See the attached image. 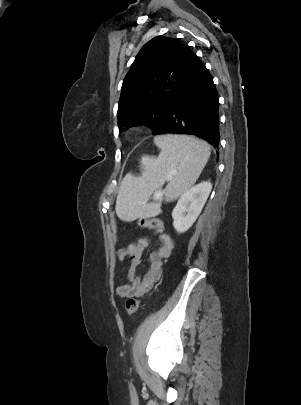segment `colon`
Returning <instances> with one entry per match:
<instances>
[{
    "instance_id": "obj_1",
    "label": "colon",
    "mask_w": 301,
    "mask_h": 405,
    "mask_svg": "<svg viewBox=\"0 0 301 405\" xmlns=\"http://www.w3.org/2000/svg\"><path fill=\"white\" fill-rule=\"evenodd\" d=\"M136 224L140 227L149 228V229H153V230H162L163 229V223L158 219L142 218V219L138 220L136 222ZM140 302L141 301L135 297H129L127 299L125 308H126V312L129 316L133 315L137 311V309L140 305Z\"/></svg>"
}]
</instances>
